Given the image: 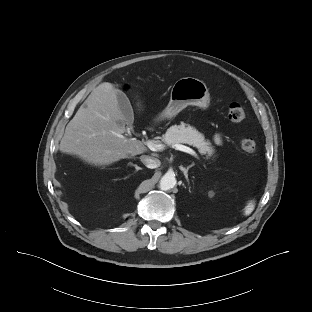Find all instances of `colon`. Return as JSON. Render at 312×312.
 I'll list each match as a JSON object with an SVG mask.
<instances>
[{"mask_svg": "<svg viewBox=\"0 0 312 312\" xmlns=\"http://www.w3.org/2000/svg\"><path fill=\"white\" fill-rule=\"evenodd\" d=\"M245 110L239 103L233 102L228 106V118L233 123H240L245 119ZM243 152L251 154L256 150V142L251 137H243L240 141Z\"/></svg>", "mask_w": 312, "mask_h": 312, "instance_id": "5ec220e1", "label": "colon"}]
</instances>
